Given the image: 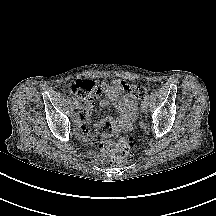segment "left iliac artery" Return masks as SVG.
I'll return each instance as SVG.
<instances>
[{"instance_id":"left-iliac-artery-1","label":"left iliac artery","mask_w":216,"mask_h":216,"mask_svg":"<svg viewBox=\"0 0 216 216\" xmlns=\"http://www.w3.org/2000/svg\"><path fill=\"white\" fill-rule=\"evenodd\" d=\"M148 99H149V96H145V97H144V100H148Z\"/></svg>"}]
</instances>
